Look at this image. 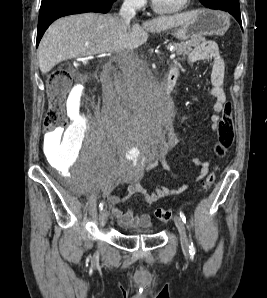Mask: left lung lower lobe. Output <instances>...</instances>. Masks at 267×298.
<instances>
[{"label":"left lung lower lobe","instance_id":"0a47b994","mask_svg":"<svg viewBox=\"0 0 267 298\" xmlns=\"http://www.w3.org/2000/svg\"><path fill=\"white\" fill-rule=\"evenodd\" d=\"M213 9H220V10L229 12L231 15H233L236 18L239 24H242L239 4H233L232 1L220 2V3H217Z\"/></svg>","mask_w":267,"mask_h":298}]
</instances>
